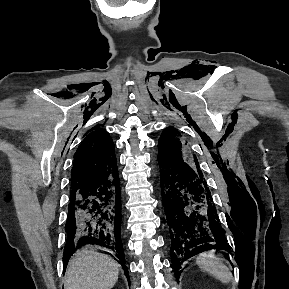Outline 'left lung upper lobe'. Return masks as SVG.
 <instances>
[{
	"label": "left lung upper lobe",
	"mask_w": 289,
	"mask_h": 289,
	"mask_svg": "<svg viewBox=\"0 0 289 289\" xmlns=\"http://www.w3.org/2000/svg\"><path fill=\"white\" fill-rule=\"evenodd\" d=\"M179 136L180 133L175 128H166L162 132V135L159 139V152L187 162L199 175L203 177V173L199 169V163L196 156L190 154L189 151L184 148L179 139Z\"/></svg>",
	"instance_id": "left-lung-upper-lobe-1"
}]
</instances>
